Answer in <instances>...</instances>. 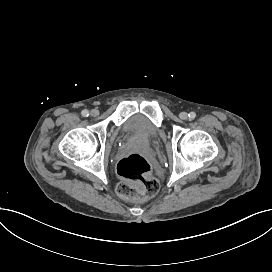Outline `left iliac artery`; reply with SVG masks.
Segmentation results:
<instances>
[{
  "mask_svg": "<svg viewBox=\"0 0 272 272\" xmlns=\"http://www.w3.org/2000/svg\"><path fill=\"white\" fill-rule=\"evenodd\" d=\"M188 116H189V118H190L191 120H193V119H195L196 114H195V112H190V113L188 114Z\"/></svg>",
  "mask_w": 272,
  "mask_h": 272,
  "instance_id": "obj_1",
  "label": "left iliac artery"
}]
</instances>
